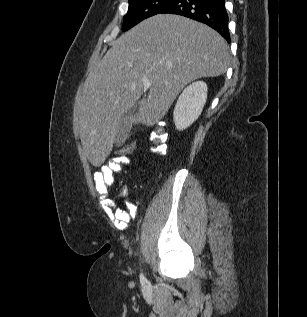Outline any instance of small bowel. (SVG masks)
<instances>
[{"mask_svg": "<svg viewBox=\"0 0 307 317\" xmlns=\"http://www.w3.org/2000/svg\"><path fill=\"white\" fill-rule=\"evenodd\" d=\"M131 165L132 161L129 157L117 155L102 165L94 174L95 189L100 196L102 208L118 230L128 228L130 221L136 216L137 206L126 201V210L121 209L117 205L116 197H111L109 191L114 185L115 175L121 174L124 167ZM120 196L127 198L128 189L126 187L122 189Z\"/></svg>", "mask_w": 307, "mask_h": 317, "instance_id": "obj_1", "label": "small bowel"}]
</instances>
